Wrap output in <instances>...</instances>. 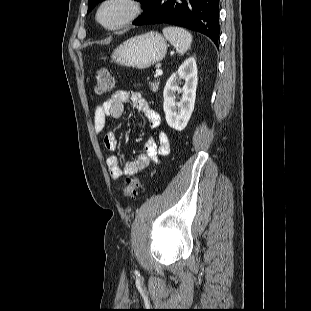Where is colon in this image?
Returning <instances> with one entry per match:
<instances>
[{
    "label": "colon",
    "mask_w": 311,
    "mask_h": 311,
    "mask_svg": "<svg viewBox=\"0 0 311 311\" xmlns=\"http://www.w3.org/2000/svg\"><path fill=\"white\" fill-rule=\"evenodd\" d=\"M113 86L114 80L110 71L106 68L98 69L96 72L95 92L99 95L106 94L112 91ZM140 185V180L136 176H129L122 190L123 196L125 198L135 197Z\"/></svg>",
    "instance_id": "obj_1"
}]
</instances>
